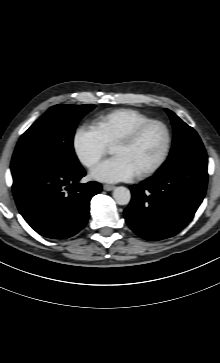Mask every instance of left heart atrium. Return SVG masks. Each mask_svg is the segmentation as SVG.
Returning a JSON list of instances; mask_svg holds the SVG:
<instances>
[{"mask_svg": "<svg viewBox=\"0 0 220 363\" xmlns=\"http://www.w3.org/2000/svg\"><path fill=\"white\" fill-rule=\"evenodd\" d=\"M136 174L130 163L121 156L111 157L91 171V177L102 182L127 181L134 178Z\"/></svg>", "mask_w": 220, "mask_h": 363, "instance_id": "left-heart-atrium-1", "label": "left heart atrium"}]
</instances>
